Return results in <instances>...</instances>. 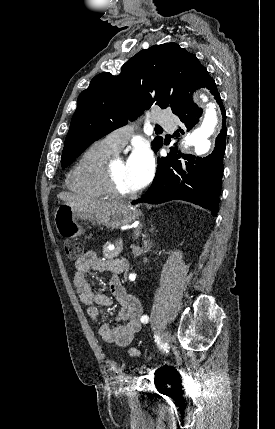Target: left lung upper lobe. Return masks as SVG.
I'll list each match as a JSON object with an SVG mask.
<instances>
[{
    "label": "left lung upper lobe",
    "mask_w": 275,
    "mask_h": 429,
    "mask_svg": "<svg viewBox=\"0 0 275 429\" xmlns=\"http://www.w3.org/2000/svg\"><path fill=\"white\" fill-rule=\"evenodd\" d=\"M204 68L192 53L178 44L165 43L142 50L127 61L119 75L95 76L78 97L61 158L70 165L89 145L135 120L152 105L171 108L175 114L191 100ZM162 137H155L158 150Z\"/></svg>",
    "instance_id": "left-lung-upper-lobe-1"
}]
</instances>
